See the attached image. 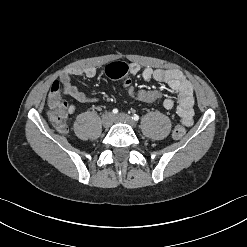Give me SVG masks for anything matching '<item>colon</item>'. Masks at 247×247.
Returning <instances> with one entry per match:
<instances>
[{"label": "colon", "mask_w": 247, "mask_h": 247, "mask_svg": "<svg viewBox=\"0 0 247 247\" xmlns=\"http://www.w3.org/2000/svg\"><path fill=\"white\" fill-rule=\"evenodd\" d=\"M106 75L114 80H124V87L127 93L136 100L142 101L144 105H154L160 98L156 90H135L131 84V76L128 74V65L122 62H113L106 66ZM49 118L54 126L60 131L67 129V103L62 97L59 87L51 88L48 96ZM186 133L184 125L178 124L174 127L172 136L174 139H181Z\"/></svg>", "instance_id": "colon-1"}]
</instances>
